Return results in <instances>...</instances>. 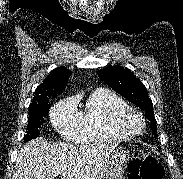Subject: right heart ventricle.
Listing matches in <instances>:
<instances>
[{
  "mask_svg": "<svg viewBox=\"0 0 183 179\" xmlns=\"http://www.w3.org/2000/svg\"><path fill=\"white\" fill-rule=\"evenodd\" d=\"M126 105L119 95L108 89L99 88L91 92L80 112L82 131L79 140L95 143L127 139L113 126L115 112Z\"/></svg>",
  "mask_w": 183,
  "mask_h": 179,
  "instance_id": "obj_1",
  "label": "right heart ventricle"
}]
</instances>
